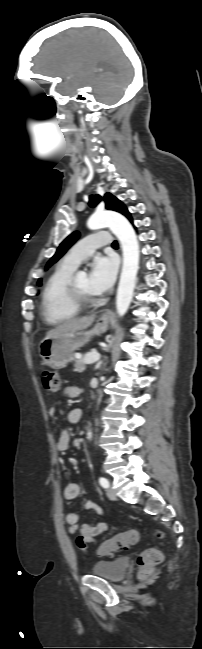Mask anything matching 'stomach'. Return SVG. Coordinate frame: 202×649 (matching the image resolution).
Returning <instances> with one entry per match:
<instances>
[{
  "label": "stomach",
  "instance_id": "stomach-1",
  "mask_svg": "<svg viewBox=\"0 0 202 649\" xmlns=\"http://www.w3.org/2000/svg\"><path fill=\"white\" fill-rule=\"evenodd\" d=\"M108 327V318L101 316L91 331H74L63 333L54 338H44L38 345L43 362L52 369H61L72 360L75 351L84 346L93 335L104 333Z\"/></svg>",
  "mask_w": 202,
  "mask_h": 649
}]
</instances>
